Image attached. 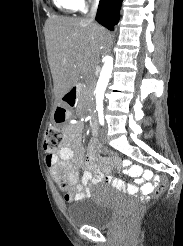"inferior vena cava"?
Instances as JSON below:
<instances>
[{
    "label": "inferior vena cava",
    "instance_id": "602c4592",
    "mask_svg": "<svg viewBox=\"0 0 183 246\" xmlns=\"http://www.w3.org/2000/svg\"><path fill=\"white\" fill-rule=\"evenodd\" d=\"M98 4H99V0H94V3L91 7V10H90V13L88 14V20L90 22L94 21L95 19V16H96V12H97V9H98Z\"/></svg>",
    "mask_w": 183,
    "mask_h": 246
}]
</instances>
